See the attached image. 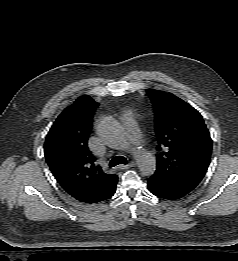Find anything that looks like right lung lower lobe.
Instances as JSON below:
<instances>
[{
	"label": "right lung lower lobe",
	"instance_id": "1",
	"mask_svg": "<svg viewBox=\"0 0 238 261\" xmlns=\"http://www.w3.org/2000/svg\"><path fill=\"white\" fill-rule=\"evenodd\" d=\"M116 183L113 184L104 195L97 198L93 203L100 202V201H103V200H106V199L112 197L114 195L115 191H116Z\"/></svg>",
	"mask_w": 238,
	"mask_h": 261
}]
</instances>
